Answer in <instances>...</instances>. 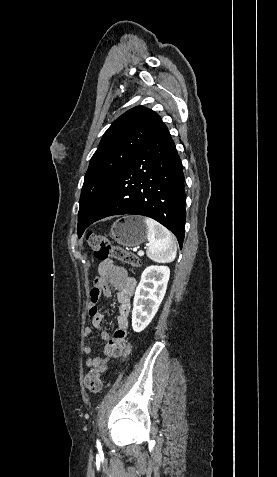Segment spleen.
I'll use <instances>...</instances> for the list:
<instances>
[{"instance_id":"1","label":"spleen","mask_w":277,"mask_h":477,"mask_svg":"<svg viewBox=\"0 0 277 477\" xmlns=\"http://www.w3.org/2000/svg\"><path fill=\"white\" fill-rule=\"evenodd\" d=\"M149 241L147 256L158 263L172 262L177 253L176 242L168 229L151 218H144Z\"/></svg>"}]
</instances>
